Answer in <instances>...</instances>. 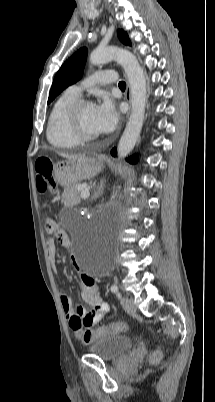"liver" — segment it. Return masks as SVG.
Segmentation results:
<instances>
[{
  "label": "liver",
  "instance_id": "6515ba94",
  "mask_svg": "<svg viewBox=\"0 0 215 402\" xmlns=\"http://www.w3.org/2000/svg\"><path fill=\"white\" fill-rule=\"evenodd\" d=\"M62 156L67 158V159H74V158L78 157V156H75V155H66V154H62Z\"/></svg>",
  "mask_w": 215,
  "mask_h": 402
}]
</instances>
